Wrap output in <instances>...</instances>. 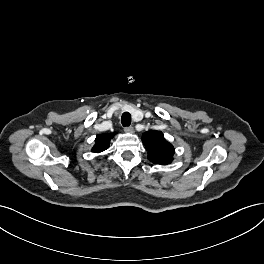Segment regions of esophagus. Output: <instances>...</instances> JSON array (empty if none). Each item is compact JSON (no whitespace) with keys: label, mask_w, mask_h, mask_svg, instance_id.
<instances>
[{"label":"esophagus","mask_w":264,"mask_h":264,"mask_svg":"<svg viewBox=\"0 0 264 264\" xmlns=\"http://www.w3.org/2000/svg\"><path fill=\"white\" fill-rule=\"evenodd\" d=\"M124 131L127 133H133L134 132V128L132 126H128L124 128Z\"/></svg>","instance_id":"obj_1"}]
</instances>
